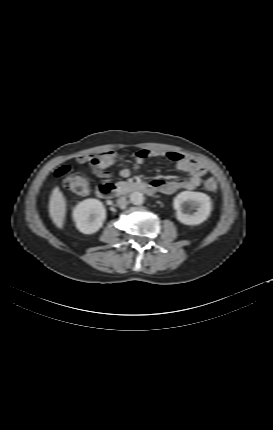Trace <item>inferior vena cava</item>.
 <instances>
[{
    "instance_id": "inferior-vena-cava-1",
    "label": "inferior vena cava",
    "mask_w": 273,
    "mask_h": 430,
    "mask_svg": "<svg viewBox=\"0 0 273 430\" xmlns=\"http://www.w3.org/2000/svg\"><path fill=\"white\" fill-rule=\"evenodd\" d=\"M117 204H118V206H119L121 209H124V208L126 207V205H127L126 198H125V197H120V198L117 200Z\"/></svg>"
}]
</instances>
